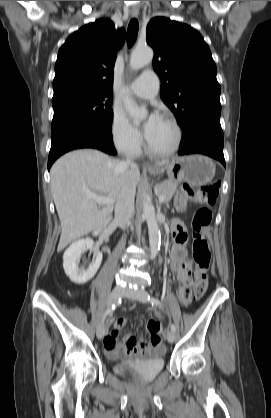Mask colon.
<instances>
[{
  "mask_svg": "<svg viewBox=\"0 0 271 418\" xmlns=\"http://www.w3.org/2000/svg\"><path fill=\"white\" fill-rule=\"evenodd\" d=\"M219 188V182H212L198 189H194L190 186H182L175 197V206L179 210H185L191 202H199L202 204V206L194 213L192 220L193 262L195 265V283L193 291L196 299L204 294L208 285L211 253L208 242L202 232L211 223V206L217 201ZM160 328L158 322L154 320L148 322V330L152 334L151 341L153 343L161 342V338L156 335Z\"/></svg>",
  "mask_w": 271,
  "mask_h": 418,
  "instance_id": "obj_1",
  "label": "colon"
}]
</instances>
